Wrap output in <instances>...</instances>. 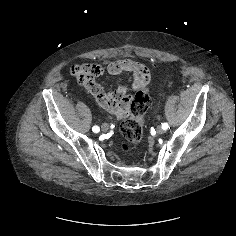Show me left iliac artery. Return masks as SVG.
I'll return each mask as SVG.
<instances>
[{"instance_id":"left-iliac-artery-1","label":"left iliac artery","mask_w":236,"mask_h":236,"mask_svg":"<svg viewBox=\"0 0 236 236\" xmlns=\"http://www.w3.org/2000/svg\"><path fill=\"white\" fill-rule=\"evenodd\" d=\"M163 130H167L169 128L168 123H162Z\"/></svg>"}]
</instances>
